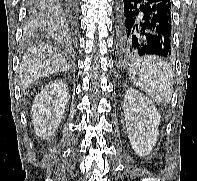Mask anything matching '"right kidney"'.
Segmentation results:
<instances>
[{"mask_svg": "<svg viewBox=\"0 0 197 181\" xmlns=\"http://www.w3.org/2000/svg\"><path fill=\"white\" fill-rule=\"evenodd\" d=\"M68 87L62 82H52L42 88L32 105V122L35 134L49 139L58 128L65 112Z\"/></svg>", "mask_w": 197, "mask_h": 181, "instance_id": "ca27d5eb", "label": "right kidney"}]
</instances>
